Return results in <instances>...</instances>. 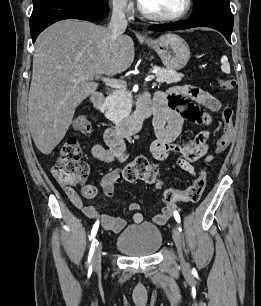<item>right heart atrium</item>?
I'll use <instances>...</instances> for the list:
<instances>
[{"mask_svg": "<svg viewBox=\"0 0 261 306\" xmlns=\"http://www.w3.org/2000/svg\"><path fill=\"white\" fill-rule=\"evenodd\" d=\"M112 10L119 15H130L134 5L131 0H110Z\"/></svg>", "mask_w": 261, "mask_h": 306, "instance_id": "d8ad5b80", "label": "right heart atrium"}]
</instances>
